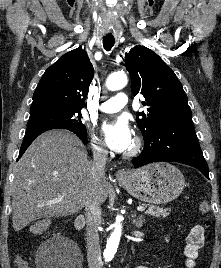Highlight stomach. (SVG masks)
<instances>
[{
	"mask_svg": "<svg viewBox=\"0 0 221 268\" xmlns=\"http://www.w3.org/2000/svg\"><path fill=\"white\" fill-rule=\"evenodd\" d=\"M120 184L129 194L141 201L166 204L181 194L185 179L175 166L159 162L128 172L120 179Z\"/></svg>",
	"mask_w": 221,
	"mask_h": 268,
	"instance_id": "stomach-1",
	"label": "stomach"
}]
</instances>
